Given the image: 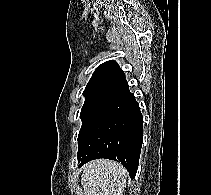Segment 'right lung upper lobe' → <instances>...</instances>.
<instances>
[{
	"mask_svg": "<svg viewBox=\"0 0 211 195\" xmlns=\"http://www.w3.org/2000/svg\"><path fill=\"white\" fill-rule=\"evenodd\" d=\"M127 86L125 74L118 64L115 61H107L93 73L84 93L96 91L115 93Z\"/></svg>",
	"mask_w": 211,
	"mask_h": 195,
	"instance_id": "cb5924a9",
	"label": "right lung upper lobe"
}]
</instances>
